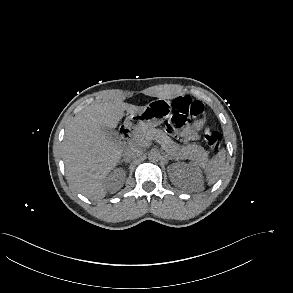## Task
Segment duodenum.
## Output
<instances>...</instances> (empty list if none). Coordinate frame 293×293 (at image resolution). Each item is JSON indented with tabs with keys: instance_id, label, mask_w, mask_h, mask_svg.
<instances>
[{
	"instance_id": "duodenum-1",
	"label": "duodenum",
	"mask_w": 293,
	"mask_h": 293,
	"mask_svg": "<svg viewBox=\"0 0 293 293\" xmlns=\"http://www.w3.org/2000/svg\"><path fill=\"white\" fill-rule=\"evenodd\" d=\"M133 126L125 125L121 128L120 133L122 138L127 141L130 138L131 133L133 132Z\"/></svg>"
}]
</instances>
